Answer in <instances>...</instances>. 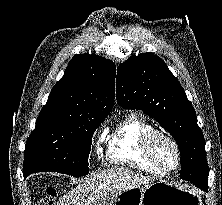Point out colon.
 <instances>
[{"mask_svg": "<svg viewBox=\"0 0 222 205\" xmlns=\"http://www.w3.org/2000/svg\"><path fill=\"white\" fill-rule=\"evenodd\" d=\"M56 189H54V188H52V187H50V188H48L47 189V196L49 197V198H52V197H54V196H56Z\"/></svg>", "mask_w": 222, "mask_h": 205, "instance_id": "colon-1", "label": "colon"}]
</instances>
